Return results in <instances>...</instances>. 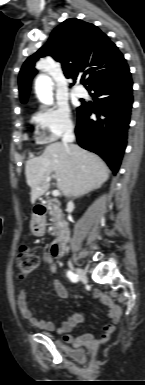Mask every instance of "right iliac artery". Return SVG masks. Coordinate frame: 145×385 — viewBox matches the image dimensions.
<instances>
[{"label": "right iliac artery", "instance_id": "right-iliac-artery-1", "mask_svg": "<svg viewBox=\"0 0 145 385\" xmlns=\"http://www.w3.org/2000/svg\"><path fill=\"white\" fill-rule=\"evenodd\" d=\"M67 276L74 283H76L78 281V276L76 274H74L72 271H68Z\"/></svg>", "mask_w": 145, "mask_h": 385}]
</instances>
